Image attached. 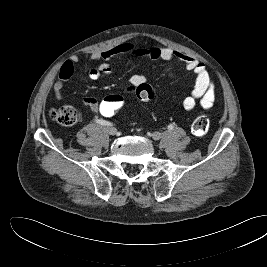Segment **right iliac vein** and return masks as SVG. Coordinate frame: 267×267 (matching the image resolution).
I'll return each instance as SVG.
<instances>
[{
  "instance_id": "right-iliac-vein-1",
  "label": "right iliac vein",
  "mask_w": 267,
  "mask_h": 267,
  "mask_svg": "<svg viewBox=\"0 0 267 267\" xmlns=\"http://www.w3.org/2000/svg\"><path fill=\"white\" fill-rule=\"evenodd\" d=\"M106 132H107L109 135L114 136V135L117 133V130H116V128H114V127H107V128H106Z\"/></svg>"
}]
</instances>
